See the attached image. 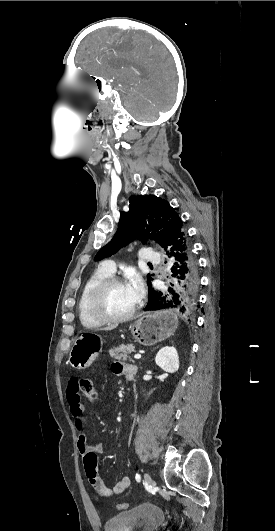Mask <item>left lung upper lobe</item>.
<instances>
[{
    "label": "left lung upper lobe",
    "instance_id": "5c2ea615",
    "mask_svg": "<svg viewBox=\"0 0 275 531\" xmlns=\"http://www.w3.org/2000/svg\"><path fill=\"white\" fill-rule=\"evenodd\" d=\"M179 224L180 217L166 200L155 195L132 196L129 199V211L121 212L116 234L97 253L95 260L111 256L136 238L145 244L151 237L165 249ZM152 280V277L147 275L148 285ZM149 294H154L151 287Z\"/></svg>",
    "mask_w": 275,
    "mask_h": 531
}]
</instances>
